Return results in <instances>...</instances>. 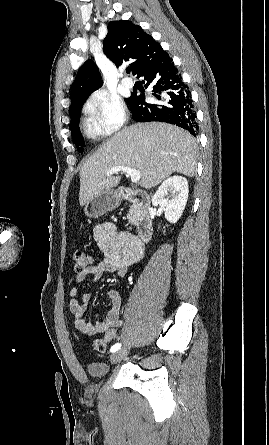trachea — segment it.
Returning a JSON list of instances; mask_svg holds the SVG:
<instances>
[{
  "label": "trachea",
  "instance_id": "trachea-1",
  "mask_svg": "<svg viewBox=\"0 0 269 445\" xmlns=\"http://www.w3.org/2000/svg\"><path fill=\"white\" fill-rule=\"evenodd\" d=\"M126 72L129 74V73H130V68H127V69H126Z\"/></svg>",
  "mask_w": 269,
  "mask_h": 445
}]
</instances>
